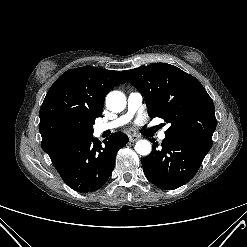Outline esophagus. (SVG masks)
I'll list each match as a JSON object with an SVG mask.
<instances>
[{"label":"esophagus","instance_id":"obj_1","mask_svg":"<svg viewBox=\"0 0 247 247\" xmlns=\"http://www.w3.org/2000/svg\"><path fill=\"white\" fill-rule=\"evenodd\" d=\"M138 139H139V136H137V135H130L129 136L130 142H136Z\"/></svg>","mask_w":247,"mask_h":247}]
</instances>
